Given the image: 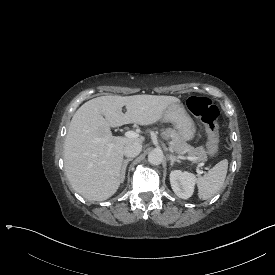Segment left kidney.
Returning <instances> with one entry per match:
<instances>
[{
	"instance_id": "left-kidney-1",
	"label": "left kidney",
	"mask_w": 275,
	"mask_h": 275,
	"mask_svg": "<svg viewBox=\"0 0 275 275\" xmlns=\"http://www.w3.org/2000/svg\"><path fill=\"white\" fill-rule=\"evenodd\" d=\"M170 183L178 197L188 199L194 191L195 175L186 171L174 170L170 173Z\"/></svg>"
}]
</instances>
